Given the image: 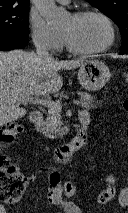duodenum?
Listing matches in <instances>:
<instances>
[{
	"mask_svg": "<svg viewBox=\"0 0 128 213\" xmlns=\"http://www.w3.org/2000/svg\"><path fill=\"white\" fill-rule=\"evenodd\" d=\"M42 119L43 115L40 111H33L30 114V121L37 128L41 127ZM88 124L89 120L87 118L80 117V128L77 134L69 143L60 145L54 150V158L57 162H66L73 153L78 151L86 144Z\"/></svg>",
	"mask_w": 128,
	"mask_h": 213,
	"instance_id": "duodenum-1",
	"label": "duodenum"
}]
</instances>
